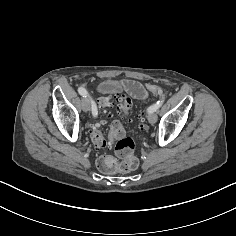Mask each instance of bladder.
<instances>
[{"label": "bladder", "instance_id": "bladder-1", "mask_svg": "<svg viewBox=\"0 0 236 236\" xmlns=\"http://www.w3.org/2000/svg\"><path fill=\"white\" fill-rule=\"evenodd\" d=\"M117 89L116 83L111 79H104L99 84V90L106 94H113Z\"/></svg>", "mask_w": 236, "mask_h": 236}]
</instances>
